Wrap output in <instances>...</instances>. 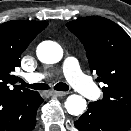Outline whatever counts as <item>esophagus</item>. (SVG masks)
<instances>
[{"label":"esophagus","mask_w":131,"mask_h":131,"mask_svg":"<svg viewBox=\"0 0 131 131\" xmlns=\"http://www.w3.org/2000/svg\"><path fill=\"white\" fill-rule=\"evenodd\" d=\"M67 94H68V92H65V91H53L52 92V95L55 96V97H62V96H65Z\"/></svg>","instance_id":"esophagus-1"}]
</instances>
